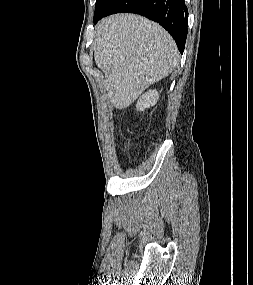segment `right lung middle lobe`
<instances>
[{
	"instance_id": "1",
	"label": "right lung middle lobe",
	"mask_w": 253,
	"mask_h": 285,
	"mask_svg": "<svg viewBox=\"0 0 253 285\" xmlns=\"http://www.w3.org/2000/svg\"><path fill=\"white\" fill-rule=\"evenodd\" d=\"M113 0H96L94 18L100 16Z\"/></svg>"
}]
</instances>
